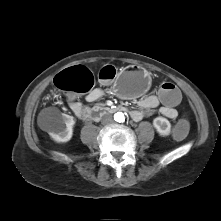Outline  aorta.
Listing matches in <instances>:
<instances>
[{"instance_id":"aorta-1","label":"aorta","mask_w":221,"mask_h":221,"mask_svg":"<svg viewBox=\"0 0 221 221\" xmlns=\"http://www.w3.org/2000/svg\"><path fill=\"white\" fill-rule=\"evenodd\" d=\"M114 120L117 122H123L125 120L124 114L122 112L115 113Z\"/></svg>"}]
</instances>
